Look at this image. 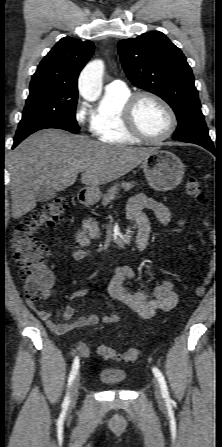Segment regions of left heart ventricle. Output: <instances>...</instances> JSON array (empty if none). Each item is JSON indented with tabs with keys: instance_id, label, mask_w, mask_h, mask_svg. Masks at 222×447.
Listing matches in <instances>:
<instances>
[{
	"instance_id": "b2bd125f",
	"label": "left heart ventricle",
	"mask_w": 222,
	"mask_h": 447,
	"mask_svg": "<svg viewBox=\"0 0 222 447\" xmlns=\"http://www.w3.org/2000/svg\"><path fill=\"white\" fill-rule=\"evenodd\" d=\"M139 128L150 137H160L169 128L168 113L157 102L143 98L137 105L135 112Z\"/></svg>"
}]
</instances>
